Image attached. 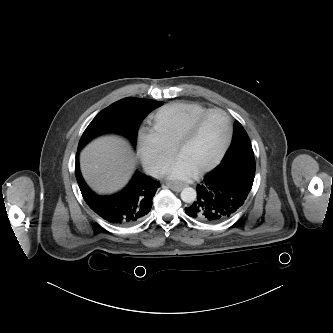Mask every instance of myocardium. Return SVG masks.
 Here are the masks:
<instances>
[{"label":"myocardium","mask_w":333,"mask_h":333,"mask_svg":"<svg viewBox=\"0 0 333 333\" xmlns=\"http://www.w3.org/2000/svg\"><path fill=\"white\" fill-rule=\"evenodd\" d=\"M212 113H221L222 115H224L227 124H228V131H227V135L226 138L219 150V152L217 153V155L215 156V158L208 163L207 165H204L198 169H196L194 171L195 174L200 175L203 174L205 172H208L210 170H212L213 168H215L223 159L225 153L227 152L229 145L232 141V137H233V122H232V118L231 116L223 109L220 108H210L208 109L206 112H204L203 114H201L200 116H198L197 118H195L186 128L185 130L181 133V135L178 137V139L176 140V142L173 145V152L175 155L178 154L179 150L191 139V137L194 135L197 127L200 125V123L206 118L208 117L210 114Z\"/></svg>","instance_id":"myocardium-1"}]
</instances>
